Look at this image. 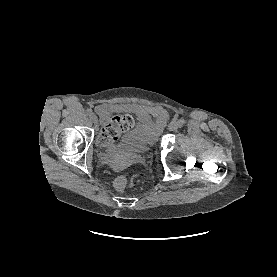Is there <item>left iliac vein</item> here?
<instances>
[{"instance_id": "obj_1", "label": "left iliac vein", "mask_w": 277, "mask_h": 277, "mask_svg": "<svg viewBox=\"0 0 277 277\" xmlns=\"http://www.w3.org/2000/svg\"><path fill=\"white\" fill-rule=\"evenodd\" d=\"M178 128H179V124L176 121H172L168 125V130L169 131H176Z\"/></svg>"}]
</instances>
